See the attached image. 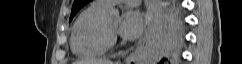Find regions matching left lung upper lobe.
<instances>
[{
    "mask_svg": "<svg viewBox=\"0 0 242 64\" xmlns=\"http://www.w3.org/2000/svg\"><path fill=\"white\" fill-rule=\"evenodd\" d=\"M90 0H75L72 6V11L70 15L69 21L72 20V18L75 16V14L87 3H89Z\"/></svg>",
    "mask_w": 242,
    "mask_h": 64,
    "instance_id": "1",
    "label": "left lung upper lobe"
}]
</instances>
